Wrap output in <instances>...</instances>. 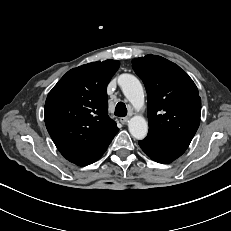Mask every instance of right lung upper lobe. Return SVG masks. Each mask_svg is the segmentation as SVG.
Instances as JSON below:
<instances>
[{
  "mask_svg": "<svg viewBox=\"0 0 231 231\" xmlns=\"http://www.w3.org/2000/svg\"><path fill=\"white\" fill-rule=\"evenodd\" d=\"M119 65L106 60L71 69L47 96L48 133L61 154L76 165L97 161L119 131L108 116L106 92Z\"/></svg>",
  "mask_w": 231,
  "mask_h": 231,
  "instance_id": "cb5924a9",
  "label": "right lung upper lobe"
}]
</instances>
